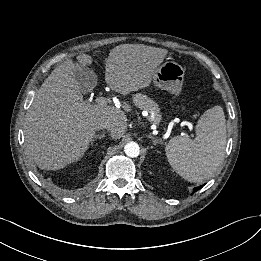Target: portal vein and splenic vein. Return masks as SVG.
Masks as SVG:
<instances>
[{"label": "portal vein and splenic vein", "mask_w": 261, "mask_h": 261, "mask_svg": "<svg viewBox=\"0 0 261 261\" xmlns=\"http://www.w3.org/2000/svg\"><path fill=\"white\" fill-rule=\"evenodd\" d=\"M98 105H106L108 103V99L105 97H99L96 99Z\"/></svg>", "instance_id": "18ae733b"}]
</instances>
